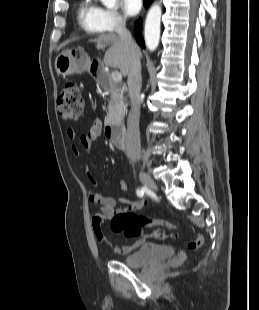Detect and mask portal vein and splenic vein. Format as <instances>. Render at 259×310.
<instances>
[{"mask_svg": "<svg viewBox=\"0 0 259 310\" xmlns=\"http://www.w3.org/2000/svg\"><path fill=\"white\" fill-rule=\"evenodd\" d=\"M111 76H112V79H113L114 82L119 83V82L122 81V75H121V73H119V72H117V71L112 72V75H111Z\"/></svg>", "mask_w": 259, "mask_h": 310, "instance_id": "1", "label": "portal vein and splenic vein"}]
</instances>
